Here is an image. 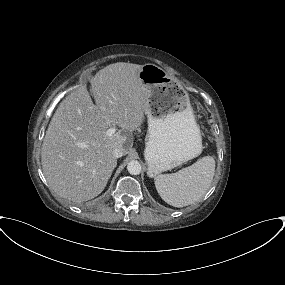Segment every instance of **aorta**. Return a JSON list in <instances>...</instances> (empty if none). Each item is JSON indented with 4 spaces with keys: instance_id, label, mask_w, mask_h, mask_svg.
Listing matches in <instances>:
<instances>
[{
    "instance_id": "aorta-1",
    "label": "aorta",
    "mask_w": 285,
    "mask_h": 285,
    "mask_svg": "<svg viewBox=\"0 0 285 285\" xmlns=\"http://www.w3.org/2000/svg\"><path fill=\"white\" fill-rule=\"evenodd\" d=\"M127 170L131 175H139L141 173L142 166L137 160H132L128 163Z\"/></svg>"
}]
</instances>
